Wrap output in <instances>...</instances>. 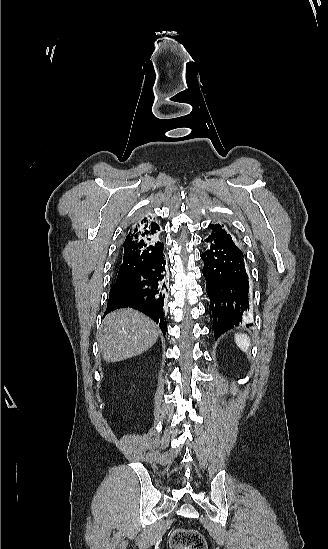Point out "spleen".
<instances>
[{"instance_id":"3e777b00","label":"spleen","mask_w":328,"mask_h":549,"mask_svg":"<svg viewBox=\"0 0 328 549\" xmlns=\"http://www.w3.org/2000/svg\"><path fill=\"white\" fill-rule=\"evenodd\" d=\"M235 343L237 347L241 349V351L247 353L249 345L251 343L250 337H248V335H240V333H238V335H235Z\"/></svg>"}]
</instances>
